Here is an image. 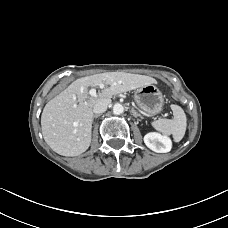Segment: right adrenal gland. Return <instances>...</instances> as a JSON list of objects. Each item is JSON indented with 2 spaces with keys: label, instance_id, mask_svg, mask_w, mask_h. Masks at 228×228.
<instances>
[{
  "label": "right adrenal gland",
  "instance_id": "1",
  "mask_svg": "<svg viewBox=\"0 0 228 228\" xmlns=\"http://www.w3.org/2000/svg\"><path fill=\"white\" fill-rule=\"evenodd\" d=\"M99 116H101V114L94 115L93 116V120L96 119V118H98Z\"/></svg>",
  "mask_w": 228,
  "mask_h": 228
}]
</instances>
